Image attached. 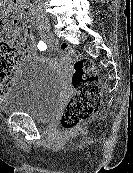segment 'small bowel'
I'll use <instances>...</instances> for the list:
<instances>
[{"mask_svg": "<svg viewBox=\"0 0 133 173\" xmlns=\"http://www.w3.org/2000/svg\"><path fill=\"white\" fill-rule=\"evenodd\" d=\"M32 22V19H31ZM23 37L27 38L29 40V43H26L24 40H21L18 43L17 50L21 55H23L25 58H33L35 55L33 41H34V35L27 31Z\"/></svg>", "mask_w": 133, "mask_h": 173, "instance_id": "1", "label": "small bowel"}]
</instances>
